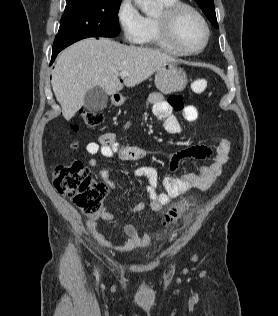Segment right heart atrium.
<instances>
[{
	"instance_id": "obj_1",
	"label": "right heart atrium",
	"mask_w": 278,
	"mask_h": 316,
	"mask_svg": "<svg viewBox=\"0 0 278 316\" xmlns=\"http://www.w3.org/2000/svg\"><path fill=\"white\" fill-rule=\"evenodd\" d=\"M116 18L123 38L129 43H138L144 27V17L133 0H120Z\"/></svg>"
}]
</instances>
